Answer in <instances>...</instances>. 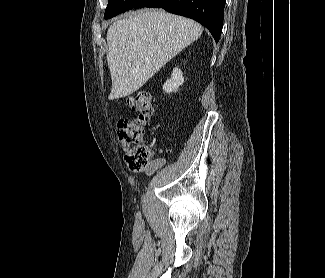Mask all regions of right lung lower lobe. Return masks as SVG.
<instances>
[{"label":"right lung lower lobe","instance_id":"right-lung-lower-lobe-1","mask_svg":"<svg viewBox=\"0 0 325 278\" xmlns=\"http://www.w3.org/2000/svg\"><path fill=\"white\" fill-rule=\"evenodd\" d=\"M224 5L225 0H137L132 8H163L189 17L204 25L218 42L223 27Z\"/></svg>","mask_w":325,"mask_h":278}]
</instances>
